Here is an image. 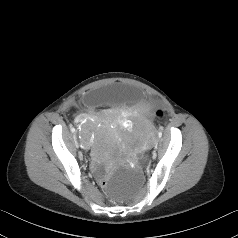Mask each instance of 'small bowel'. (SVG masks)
Segmentation results:
<instances>
[{
	"label": "small bowel",
	"mask_w": 238,
	"mask_h": 238,
	"mask_svg": "<svg viewBox=\"0 0 238 238\" xmlns=\"http://www.w3.org/2000/svg\"><path fill=\"white\" fill-rule=\"evenodd\" d=\"M84 120V117L83 116H79L78 118H77V122H82Z\"/></svg>",
	"instance_id": "obj_1"
}]
</instances>
